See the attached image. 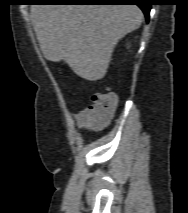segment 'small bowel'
<instances>
[{
  "label": "small bowel",
  "instance_id": "c3829d8e",
  "mask_svg": "<svg viewBox=\"0 0 188 213\" xmlns=\"http://www.w3.org/2000/svg\"><path fill=\"white\" fill-rule=\"evenodd\" d=\"M75 118L79 127L104 126L107 123V120H106L102 123L94 124L88 116V108L80 110L75 115Z\"/></svg>",
  "mask_w": 188,
  "mask_h": 213
}]
</instances>
